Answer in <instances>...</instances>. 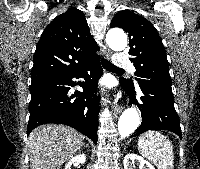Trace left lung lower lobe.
<instances>
[{
	"label": "left lung lower lobe",
	"instance_id": "left-lung-lower-lobe-1",
	"mask_svg": "<svg viewBox=\"0 0 200 169\" xmlns=\"http://www.w3.org/2000/svg\"><path fill=\"white\" fill-rule=\"evenodd\" d=\"M121 86L129 95L130 100L138 103L134 86H129L124 82H121ZM139 87L144 94L143 97H140L143 104H138L141 110L142 123L133 136L148 130L164 129L174 132L181 138L180 120L174 108L171 86L143 81L139 83Z\"/></svg>",
	"mask_w": 200,
	"mask_h": 169
}]
</instances>
